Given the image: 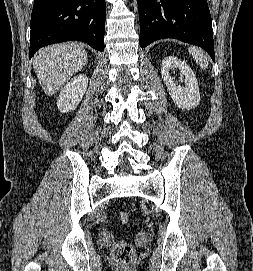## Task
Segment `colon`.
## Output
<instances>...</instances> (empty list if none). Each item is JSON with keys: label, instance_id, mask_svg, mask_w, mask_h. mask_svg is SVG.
Wrapping results in <instances>:
<instances>
[{"label": "colon", "instance_id": "1", "mask_svg": "<svg viewBox=\"0 0 253 271\" xmlns=\"http://www.w3.org/2000/svg\"><path fill=\"white\" fill-rule=\"evenodd\" d=\"M129 219L130 215L126 211H122L118 214V220L121 224H127ZM113 256L119 262L128 263L132 261L134 257V250L129 243L120 241L113 249Z\"/></svg>", "mask_w": 253, "mask_h": 271}]
</instances>
